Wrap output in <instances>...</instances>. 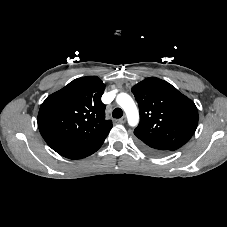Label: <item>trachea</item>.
Wrapping results in <instances>:
<instances>
[{"label":"trachea","instance_id":"obj_1","mask_svg":"<svg viewBox=\"0 0 227 227\" xmlns=\"http://www.w3.org/2000/svg\"><path fill=\"white\" fill-rule=\"evenodd\" d=\"M113 118H121L123 116V111L120 108H115L112 112Z\"/></svg>","mask_w":227,"mask_h":227}]
</instances>
